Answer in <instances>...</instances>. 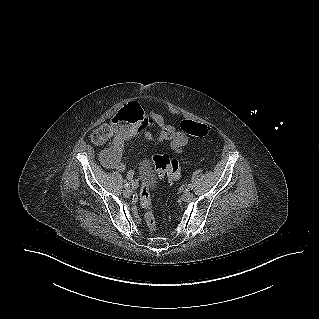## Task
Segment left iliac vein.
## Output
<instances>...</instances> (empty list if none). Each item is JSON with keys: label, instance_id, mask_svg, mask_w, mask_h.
<instances>
[{"label": "left iliac vein", "instance_id": "left-iliac-vein-1", "mask_svg": "<svg viewBox=\"0 0 319 319\" xmlns=\"http://www.w3.org/2000/svg\"><path fill=\"white\" fill-rule=\"evenodd\" d=\"M182 200L185 202L191 201L193 199V194L189 191H186L181 196Z\"/></svg>", "mask_w": 319, "mask_h": 319}]
</instances>
